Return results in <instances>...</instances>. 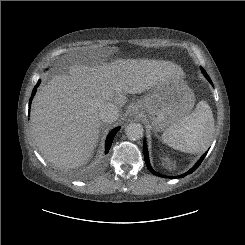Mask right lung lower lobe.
<instances>
[{
  "mask_svg": "<svg viewBox=\"0 0 245 245\" xmlns=\"http://www.w3.org/2000/svg\"><path fill=\"white\" fill-rule=\"evenodd\" d=\"M40 82H41V81L39 80L38 83L36 84V86L34 87L33 91H32V96H31L30 102H29V108H30V106H31V101H32V99H33V97H34V95H35V93H36V89H37V87L39 86ZM29 112H30V110H29ZM119 129H120V127L115 128L114 130H112V131L108 134L107 139H106V145H105V153H108V151H109V149H110V147H111V144H112V142H113L114 136H115V134L119 131Z\"/></svg>",
  "mask_w": 245,
  "mask_h": 245,
  "instance_id": "obj_1",
  "label": "right lung lower lobe"
}]
</instances>
